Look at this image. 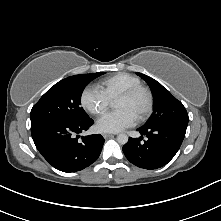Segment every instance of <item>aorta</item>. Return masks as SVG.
I'll use <instances>...</instances> for the list:
<instances>
[{
	"label": "aorta",
	"instance_id": "aorta-1",
	"mask_svg": "<svg viewBox=\"0 0 221 221\" xmlns=\"http://www.w3.org/2000/svg\"><path fill=\"white\" fill-rule=\"evenodd\" d=\"M117 141L121 145H125L128 142V136L126 134H119L117 136Z\"/></svg>",
	"mask_w": 221,
	"mask_h": 221
}]
</instances>
